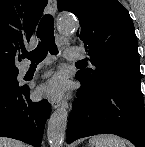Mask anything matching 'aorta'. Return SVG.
Segmentation results:
<instances>
[{"mask_svg": "<svg viewBox=\"0 0 145 147\" xmlns=\"http://www.w3.org/2000/svg\"><path fill=\"white\" fill-rule=\"evenodd\" d=\"M78 23L71 16L66 15L58 20V28L61 33H70L77 29ZM68 121L67 108L62 105L51 116L48 121L47 138L50 147H62Z\"/></svg>", "mask_w": 145, "mask_h": 147, "instance_id": "aorta-1", "label": "aorta"}]
</instances>
